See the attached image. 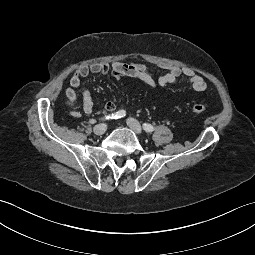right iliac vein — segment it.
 <instances>
[{
	"mask_svg": "<svg viewBox=\"0 0 255 255\" xmlns=\"http://www.w3.org/2000/svg\"><path fill=\"white\" fill-rule=\"evenodd\" d=\"M106 129H107V125L102 123V124L96 125L93 131L96 135L101 136L105 133Z\"/></svg>",
	"mask_w": 255,
	"mask_h": 255,
	"instance_id": "1",
	"label": "right iliac vein"
}]
</instances>
